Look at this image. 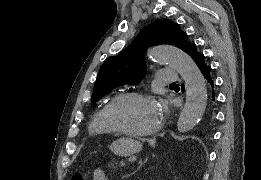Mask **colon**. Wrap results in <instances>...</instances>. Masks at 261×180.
Instances as JSON below:
<instances>
[{
	"label": "colon",
	"mask_w": 261,
	"mask_h": 180,
	"mask_svg": "<svg viewBox=\"0 0 261 180\" xmlns=\"http://www.w3.org/2000/svg\"><path fill=\"white\" fill-rule=\"evenodd\" d=\"M83 175L82 174H74L73 175V180H83Z\"/></svg>",
	"instance_id": "1"
}]
</instances>
